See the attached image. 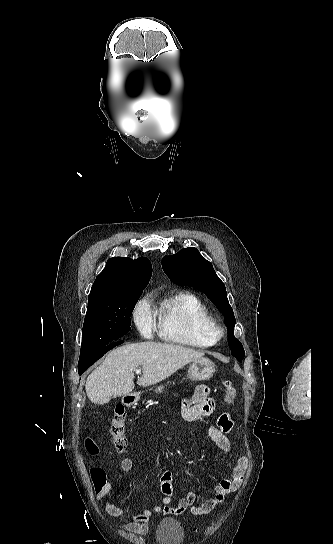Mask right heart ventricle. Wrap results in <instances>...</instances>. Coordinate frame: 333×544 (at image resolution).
<instances>
[{"label": "right heart ventricle", "instance_id": "e07e8e85", "mask_svg": "<svg viewBox=\"0 0 333 544\" xmlns=\"http://www.w3.org/2000/svg\"><path fill=\"white\" fill-rule=\"evenodd\" d=\"M212 322L213 316L206 304L187 291L166 297L158 310L161 337L189 347L208 348L216 344L210 332Z\"/></svg>", "mask_w": 333, "mask_h": 544}]
</instances>
